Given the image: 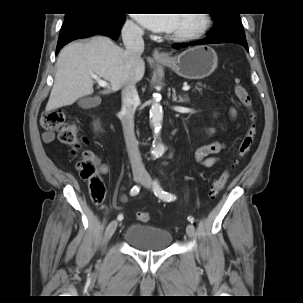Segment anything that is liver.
<instances>
[{"label": "liver", "mask_w": 303, "mask_h": 303, "mask_svg": "<svg viewBox=\"0 0 303 303\" xmlns=\"http://www.w3.org/2000/svg\"><path fill=\"white\" fill-rule=\"evenodd\" d=\"M56 66L46 111L72 105L79 98L93 94L92 74L110 82V87L101 92L108 94L121 89L126 76L136 83L145 73L143 59L134 69L127 70L125 51L104 36L68 44L59 53Z\"/></svg>", "instance_id": "1"}]
</instances>
